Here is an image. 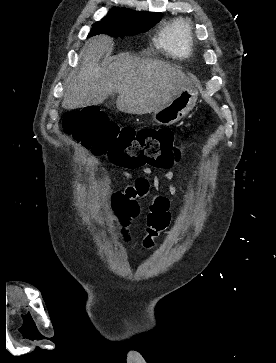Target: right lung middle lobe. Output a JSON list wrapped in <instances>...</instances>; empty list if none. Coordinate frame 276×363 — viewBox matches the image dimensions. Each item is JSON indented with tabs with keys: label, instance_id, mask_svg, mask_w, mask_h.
<instances>
[{
	"label": "right lung middle lobe",
	"instance_id": "right-lung-middle-lobe-1",
	"mask_svg": "<svg viewBox=\"0 0 276 363\" xmlns=\"http://www.w3.org/2000/svg\"><path fill=\"white\" fill-rule=\"evenodd\" d=\"M161 19L160 13L136 12L113 8L101 21L92 25L90 36L108 34L115 37L146 32Z\"/></svg>",
	"mask_w": 276,
	"mask_h": 363
}]
</instances>
